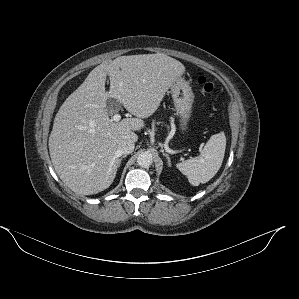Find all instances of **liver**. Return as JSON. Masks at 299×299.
Here are the masks:
<instances>
[{
	"label": "liver",
	"instance_id": "6515ba94",
	"mask_svg": "<svg viewBox=\"0 0 299 299\" xmlns=\"http://www.w3.org/2000/svg\"><path fill=\"white\" fill-rule=\"evenodd\" d=\"M184 72L181 62L162 53L120 56L95 67L60 107L49 137L50 157L65 185L82 195L107 189L121 162L119 142L138 140L135 131L144 127L143 119L158 109ZM108 98L135 118L110 119L105 109Z\"/></svg>",
	"mask_w": 299,
	"mask_h": 299
}]
</instances>
